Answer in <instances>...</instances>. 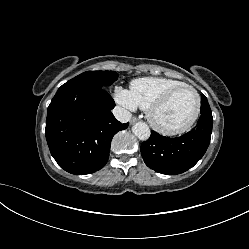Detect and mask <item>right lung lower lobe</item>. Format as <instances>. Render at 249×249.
Instances as JSON below:
<instances>
[{
  "mask_svg": "<svg viewBox=\"0 0 249 249\" xmlns=\"http://www.w3.org/2000/svg\"><path fill=\"white\" fill-rule=\"evenodd\" d=\"M115 102L95 84L69 80L53 97L46 140L56 162L72 174H90L108 161L113 136L126 129L111 113Z\"/></svg>",
  "mask_w": 249,
  "mask_h": 249,
  "instance_id": "98d812e1",
  "label": "right lung lower lobe"
}]
</instances>
